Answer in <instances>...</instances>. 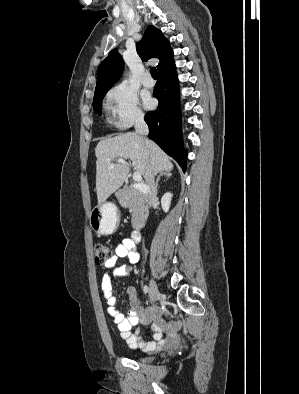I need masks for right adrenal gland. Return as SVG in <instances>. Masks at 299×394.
<instances>
[{
  "label": "right adrenal gland",
  "instance_id": "2a0ac1e0",
  "mask_svg": "<svg viewBox=\"0 0 299 394\" xmlns=\"http://www.w3.org/2000/svg\"><path fill=\"white\" fill-rule=\"evenodd\" d=\"M171 175H172V174H171L169 171L160 173V175L157 177V180H156V187L159 188V181H160V178H161V177L170 178Z\"/></svg>",
  "mask_w": 299,
  "mask_h": 394
}]
</instances>
